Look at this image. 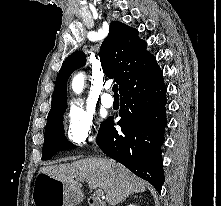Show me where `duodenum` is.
Returning a JSON list of instances; mask_svg holds the SVG:
<instances>
[{
	"instance_id": "obj_1",
	"label": "duodenum",
	"mask_w": 221,
	"mask_h": 206,
	"mask_svg": "<svg viewBox=\"0 0 221 206\" xmlns=\"http://www.w3.org/2000/svg\"><path fill=\"white\" fill-rule=\"evenodd\" d=\"M88 206H105V204L97 197L90 196L87 199Z\"/></svg>"
}]
</instances>
